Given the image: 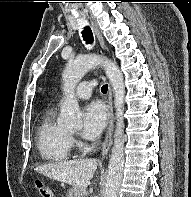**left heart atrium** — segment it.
Listing matches in <instances>:
<instances>
[{"label": "left heart atrium", "mask_w": 191, "mask_h": 197, "mask_svg": "<svg viewBox=\"0 0 191 197\" xmlns=\"http://www.w3.org/2000/svg\"><path fill=\"white\" fill-rule=\"evenodd\" d=\"M107 109L99 101L89 103L82 112V135L88 139H94L100 135L107 123Z\"/></svg>", "instance_id": "1"}]
</instances>
